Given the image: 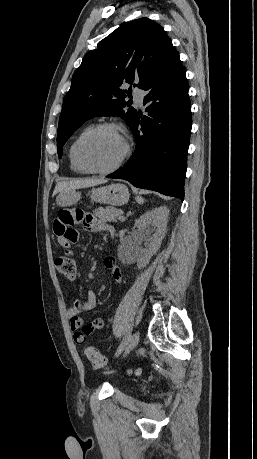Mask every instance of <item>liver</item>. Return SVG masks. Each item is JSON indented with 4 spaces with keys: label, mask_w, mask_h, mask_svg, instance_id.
Segmentation results:
<instances>
[{
    "label": "liver",
    "mask_w": 257,
    "mask_h": 459,
    "mask_svg": "<svg viewBox=\"0 0 257 459\" xmlns=\"http://www.w3.org/2000/svg\"><path fill=\"white\" fill-rule=\"evenodd\" d=\"M105 182L106 180L104 179H94V178L73 179V180L62 181V182L57 183L54 189L53 195H56L57 193H62L68 190L88 188V187L104 184Z\"/></svg>",
    "instance_id": "6515ba94"
}]
</instances>
